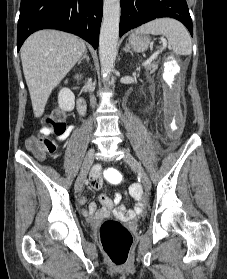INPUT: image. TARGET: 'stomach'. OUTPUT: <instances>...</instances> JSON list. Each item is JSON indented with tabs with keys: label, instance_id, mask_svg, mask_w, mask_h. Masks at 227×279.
<instances>
[{
	"label": "stomach",
	"instance_id": "obj_1",
	"mask_svg": "<svg viewBox=\"0 0 227 279\" xmlns=\"http://www.w3.org/2000/svg\"><path fill=\"white\" fill-rule=\"evenodd\" d=\"M129 45L136 52H144L149 45V38L138 34H131L129 37Z\"/></svg>",
	"mask_w": 227,
	"mask_h": 279
}]
</instances>
